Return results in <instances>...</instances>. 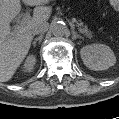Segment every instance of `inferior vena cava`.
Returning a JSON list of instances; mask_svg holds the SVG:
<instances>
[{"instance_id": "obj_1", "label": "inferior vena cava", "mask_w": 119, "mask_h": 119, "mask_svg": "<svg viewBox=\"0 0 119 119\" xmlns=\"http://www.w3.org/2000/svg\"><path fill=\"white\" fill-rule=\"evenodd\" d=\"M49 28V24L47 22H42L37 24L35 27L32 29V34H44Z\"/></svg>"}]
</instances>
